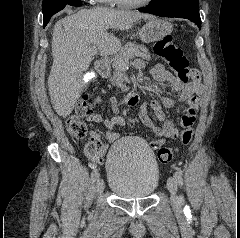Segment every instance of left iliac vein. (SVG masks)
I'll return each mask as SVG.
<instances>
[{"label": "left iliac vein", "mask_w": 240, "mask_h": 238, "mask_svg": "<svg viewBox=\"0 0 240 238\" xmlns=\"http://www.w3.org/2000/svg\"><path fill=\"white\" fill-rule=\"evenodd\" d=\"M177 181L174 177H169L167 180V189L171 194V205L174 209H181L182 199L177 195Z\"/></svg>", "instance_id": "1"}]
</instances>
